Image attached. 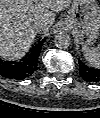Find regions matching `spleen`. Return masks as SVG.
Here are the masks:
<instances>
[{"label":"spleen","mask_w":100,"mask_h":118,"mask_svg":"<svg viewBox=\"0 0 100 118\" xmlns=\"http://www.w3.org/2000/svg\"><path fill=\"white\" fill-rule=\"evenodd\" d=\"M82 51L85 56L86 61L95 68L100 67V48L94 47L89 48L86 45L82 46Z\"/></svg>","instance_id":"spleen-1"}]
</instances>
